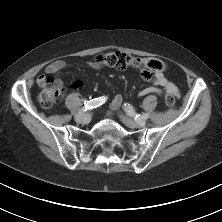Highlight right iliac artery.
<instances>
[{"label": "right iliac artery", "instance_id": "obj_1", "mask_svg": "<svg viewBox=\"0 0 222 222\" xmlns=\"http://www.w3.org/2000/svg\"><path fill=\"white\" fill-rule=\"evenodd\" d=\"M106 97L102 96V97H98L89 101H85L84 105L82 106V108L80 109V112L82 111H87L93 108H97L99 106H101L102 104L105 103L106 101Z\"/></svg>", "mask_w": 222, "mask_h": 222}]
</instances>
